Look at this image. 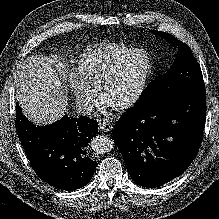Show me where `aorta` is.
<instances>
[{
  "instance_id": "aorta-1",
  "label": "aorta",
  "mask_w": 219,
  "mask_h": 219,
  "mask_svg": "<svg viewBox=\"0 0 219 219\" xmlns=\"http://www.w3.org/2000/svg\"><path fill=\"white\" fill-rule=\"evenodd\" d=\"M114 147V141L106 135L96 136L91 141V148L97 153L109 152Z\"/></svg>"
}]
</instances>
